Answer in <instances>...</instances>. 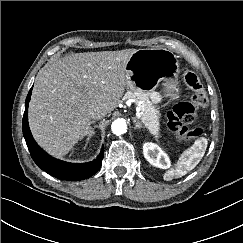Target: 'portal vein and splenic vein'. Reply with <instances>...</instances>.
Segmentation results:
<instances>
[{"mask_svg":"<svg viewBox=\"0 0 243 243\" xmlns=\"http://www.w3.org/2000/svg\"><path fill=\"white\" fill-rule=\"evenodd\" d=\"M136 117H137L138 119L141 118V112H140V109H139V108H137Z\"/></svg>","mask_w":243,"mask_h":243,"instance_id":"obj_1","label":"portal vein and splenic vein"}]
</instances>
